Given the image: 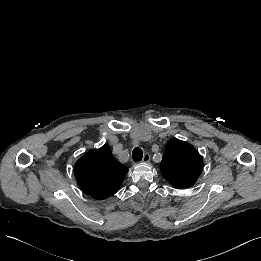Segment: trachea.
<instances>
[{
  "mask_svg": "<svg viewBox=\"0 0 261 261\" xmlns=\"http://www.w3.org/2000/svg\"><path fill=\"white\" fill-rule=\"evenodd\" d=\"M142 158H143V151L141 150V148L139 147L134 148L132 152L133 161H141Z\"/></svg>",
  "mask_w": 261,
  "mask_h": 261,
  "instance_id": "3493384b",
  "label": "trachea"
}]
</instances>
